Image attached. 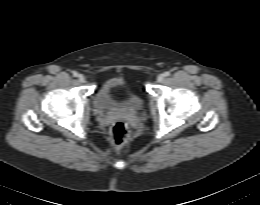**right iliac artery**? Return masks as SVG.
<instances>
[{"instance_id": "right-iliac-artery-1", "label": "right iliac artery", "mask_w": 260, "mask_h": 205, "mask_svg": "<svg viewBox=\"0 0 260 205\" xmlns=\"http://www.w3.org/2000/svg\"><path fill=\"white\" fill-rule=\"evenodd\" d=\"M73 76L74 77H77L78 76V73L76 71L73 72Z\"/></svg>"}]
</instances>
